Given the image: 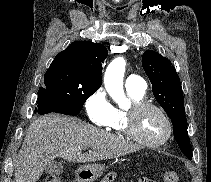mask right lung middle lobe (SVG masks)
I'll return each instance as SVG.
<instances>
[{
  "mask_svg": "<svg viewBox=\"0 0 211 182\" xmlns=\"http://www.w3.org/2000/svg\"><path fill=\"white\" fill-rule=\"evenodd\" d=\"M44 87L38 91V99L50 98L66 110L78 115L88 99L100 85L81 80L64 70L48 69Z\"/></svg>",
  "mask_w": 211,
  "mask_h": 182,
  "instance_id": "obj_1",
  "label": "right lung middle lobe"
}]
</instances>
